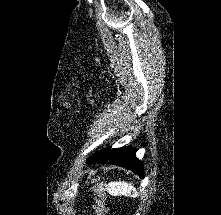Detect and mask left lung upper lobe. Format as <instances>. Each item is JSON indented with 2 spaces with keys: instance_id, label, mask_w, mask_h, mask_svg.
<instances>
[{
  "instance_id": "5c2ea615",
  "label": "left lung upper lobe",
  "mask_w": 221,
  "mask_h": 215,
  "mask_svg": "<svg viewBox=\"0 0 221 215\" xmlns=\"http://www.w3.org/2000/svg\"><path fill=\"white\" fill-rule=\"evenodd\" d=\"M105 150L95 153L92 157L87 161L88 163L93 162L96 158L101 157L104 154Z\"/></svg>"
}]
</instances>
